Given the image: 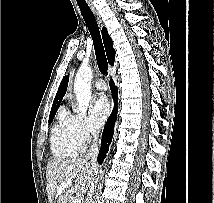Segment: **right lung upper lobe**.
I'll return each instance as SVG.
<instances>
[{"label": "right lung upper lobe", "mask_w": 214, "mask_h": 203, "mask_svg": "<svg viewBox=\"0 0 214 203\" xmlns=\"http://www.w3.org/2000/svg\"><path fill=\"white\" fill-rule=\"evenodd\" d=\"M102 38H103V43L107 55V59L109 64L113 65L114 64V57H115V50L113 49V42L111 37L108 34V31L105 27L102 28ZM68 80H69V75L65 76L63 80L61 81V84L59 86V89L57 91V94L55 96L50 116L55 115L57 112V109L66 93L67 86H68Z\"/></svg>", "instance_id": "1"}]
</instances>
